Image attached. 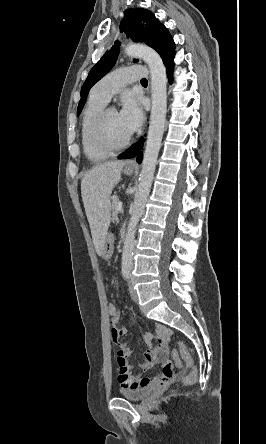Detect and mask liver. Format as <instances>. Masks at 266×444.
<instances>
[{
  "label": "liver",
  "instance_id": "1",
  "mask_svg": "<svg viewBox=\"0 0 266 444\" xmlns=\"http://www.w3.org/2000/svg\"><path fill=\"white\" fill-rule=\"evenodd\" d=\"M123 161L100 164L89 170L81 180V194L90 225L95 250L102 255L110 225V196L121 178Z\"/></svg>",
  "mask_w": 266,
  "mask_h": 444
}]
</instances>
